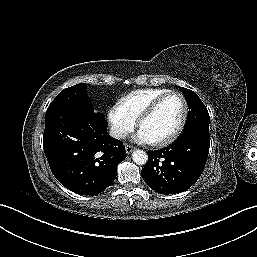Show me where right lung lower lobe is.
<instances>
[{
    "label": "right lung lower lobe",
    "instance_id": "1",
    "mask_svg": "<svg viewBox=\"0 0 257 257\" xmlns=\"http://www.w3.org/2000/svg\"><path fill=\"white\" fill-rule=\"evenodd\" d=\"M45 120L44 152L63 186L80 195H97L113 183L126 151L108 135L104 116L94 108L60 106L47 110Z\"/></svg>",
    "mask_w": 257,
    "mask_h": 257
}]
</instances>
